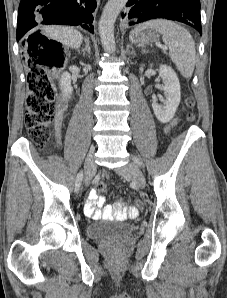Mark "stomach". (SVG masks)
I'll use <instances>...</instances> for the list:
<instances>
[{
  "mask_svg": "<svg viewBox=\"0 0 227 298\" xmlns=\"http://www.w3.org/2000/svg\"><path fill=\"white\" fill-rule=\"evenodd\" d=\"M156 35L151 30H142L132 36V42L138 43L139 45L149 44L153 42Z\"/></svg>",
  "mask_w": 227,
  "mask_h": 298,
  "instance_id": "obj_1",
  "label": "stomach"
}]
</instances>
